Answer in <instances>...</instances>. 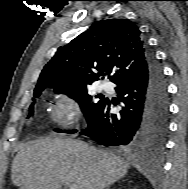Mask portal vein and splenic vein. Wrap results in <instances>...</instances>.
Returning a JSON list of instances; mask_svg holds the SVG:
<instances>
[{"mask_svg": "<svg viewBox=\"0 0 188 189\" xmlns=\"http://www.w3.org/2000/svg\"><path fill=\"white\" fill-rule=\"evenodd\" d=\"M64 185L69 189H78V185L75 183H64Z\"/></svg>", "mask_w": 188, "mask_h": 189, "instance_id": "portal-vein-and-splenic-vein-1", "label": "portal vein and splenic vein"}]
</instances>
